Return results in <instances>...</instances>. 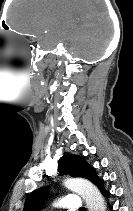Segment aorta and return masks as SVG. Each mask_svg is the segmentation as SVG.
<instances>
[{
  "instance_id": "aorta-1",
  "label": "aorta",
  "mask_w": 133,
  "mask_h": 211,
  "mask_svg": "<svg viewBox=\"0 0 133 211\" xmlns=\"http://www.w3.org/2000/svg\"><path fill=\"white\" fill-rule=\"evenodd\" d=\"M64 186L78 193L85 200L89 211H106L101 193L88 180L82 178H68L64 181Z\"/></svg>"
}]
</instances>
